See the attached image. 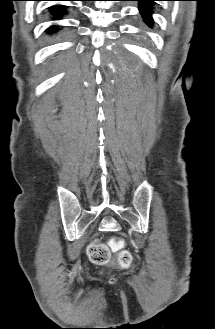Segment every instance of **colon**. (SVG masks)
Instances as JSON below:
<instances>
[{
  "label": "colon",
  "mask_w": 215,
  "mask_h": 329,
  "mask_svg": "<svg viewBox=\"0 0 215 329\" xmlns=\"http://www.w3.org/2000/svg\"><path fill=\"white\" fill-rule=\"evenodd\" d=\"M112 251L118 252V262L121 265L125 266L131 263V254L124 248V242L122 240L113 239L108 244L91 243L87 247V254L96 265L108 264Z\"/></svg>",
  "instance_id": "5ec220e1"
}]
</instances>
